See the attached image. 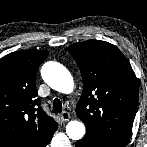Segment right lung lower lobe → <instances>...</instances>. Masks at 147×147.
<instances>
[{
    "instance_id": "right-lung-lower-lobe-1",
    "label": "right lung lower lobe",
    "mask_w": 147,
    "mask_h": 147,
    "mask_svg": "<svg viewBox=\"0 0 147 147\" xmlns=\"http://www.w3.org/2000/svg\"><path fill=\"white\" fill-rule=\"evenodd\" d=\"M52 136H53V135H52ZM52 136H51L45 143H43L40 147H46V146L49 144V142H50Z\"/></svg>"
}]
</instances>
